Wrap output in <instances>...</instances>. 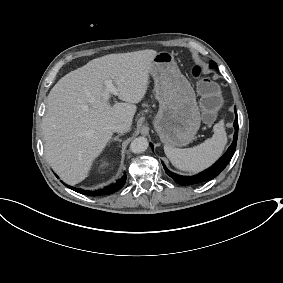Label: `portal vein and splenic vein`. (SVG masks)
<instances>
[{"mask_svg":"<svg viewBox=\"0 0 283 283\" xmlns=\"http://www.w3.org/2000/svg\"><path fill=\"white\" fill-rule=\"evenodd\" d=\"M104 84L106 86V90L104 93V97L107 98L108 93H112L114 95H118V89L113 85L112 80H105ZM108 99V98H107Z\"/></svg>","mask_w":283,"mask_h":283,"instance_id":"18ae733b","label":"portal vein and splenic vein"}]
</instances>
